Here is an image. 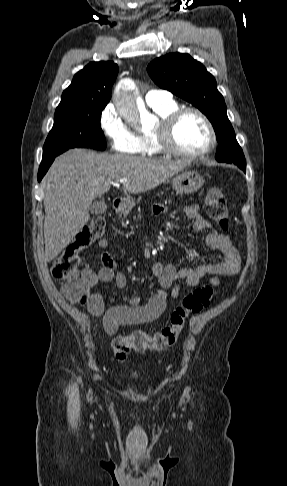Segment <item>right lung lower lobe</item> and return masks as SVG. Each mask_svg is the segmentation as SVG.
I'll return each instance as SVG.
<instances>
[{"label":"right lung lower lobe","instance_id":"right-lung-lower-lobe-1","mask_svg":"<svg viewBox=\"0 0 287 486\" xmlns=\"http://www.w3.org/2000/svg\"><path fill=\"white\" fill-rule=\"evenodd\" d=\"M55 157L49 158L42 160L40 167H39V172H38V181L40 182L43 176L46 174L47 170L49 169L50 165L54 161Z\"/></svg>","mask_w":287,"mask_h":486}]
</instances>
